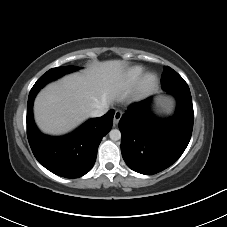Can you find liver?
Segmentation results:
<instances>
[{"instance_id":"1","label":"liver","mask_w":227,"mask_h":227,"mask_svg":"<svg viewBox=\"0 0 227 227\" xmlns=\"http://www.w3.org/2000/svg\"><path fill=\"white\" fill-rule=\"evenodd\" d=\"M125 67L121 60L96 62L82 73L69 74L47 85L34 102L40 130L65 134L84 122L93 110L124 98L129 89Z\"/></svg>"}]
</instances>
